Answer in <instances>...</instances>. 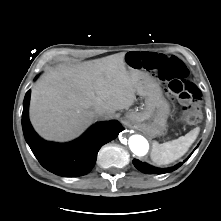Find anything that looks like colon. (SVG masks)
Segmentation results:
<instances>
[{"instance_id":"colon-1","label":"colon","mask_w":221,"mask_h":221,"mask_svg":"<svg viewBox=\"0 0 221 221\" xmlns=\"http://www.w3.org/2000/svg\"><path fill=\"white\" fill-rule=\"evenodd\" d=\"M129 63L134 68L152 71L162 80L167 90L178 98L183 115L190 123L200 120V110L196 105L199 92L190 82L188 69L179 58L147 52L142 55H130Z\"/></svg>"}]
</instances>
